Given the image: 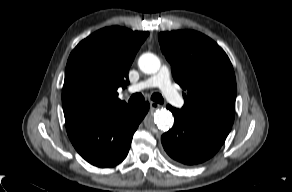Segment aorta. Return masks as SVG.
<instances>
[{
  "label": "aorta",
  "mask_w": 292,
  "mask_h": 192,
  "mask_svg": "<svg viewBox=\"0 0 292 192\" xmlns=\"http://www.w3.org/2000/svg\"><path fill=\"white\" fill-rule=\"evenodd\" d=\"M138 66L145 74H155L160 69V60L153 53H144L139 57ZM174 123L172 113L166 109H159L155 112L153 118L145 119V126L150 130H155L157 127L162 131L169 130Z\"/></svg>",
  "instance_id": "762f6f07"
}]
</instances>
